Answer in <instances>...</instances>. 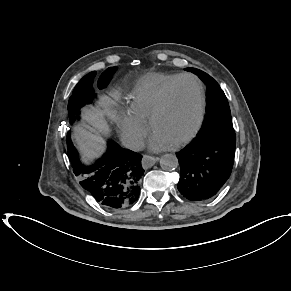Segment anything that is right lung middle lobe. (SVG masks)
I'll return each instance as SVG.
<instances>
[{
	"label": "right lung middle lobe",
	"instance_id": "obj_1",
	"mask_svg": "<svg viewBox=\"0 0 291 291\" xmlns=\"http://www.w3.org/2000/svg\"><path fill=\"white\" fill-rule=\"evenodd\" d=\"M116 68L105 70L98 80L100 89L107 86ZM96 72H91L84 76L73 90L72 96L68 102L69 122L73 124L79 120L80 108L86 104H91L95 94L93 93L92 83ZM71 143L70 133L67 134V144Z\"/></svg>",
	"mask_w": 291,
	"mask_h": 291
}]
</instances>
